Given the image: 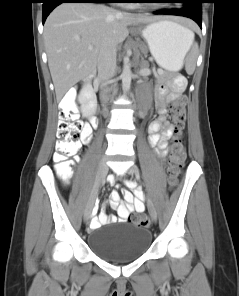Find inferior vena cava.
<instances>
[{"mask_svg":"<svg viewBox=\"0 0 239 296\" xmlns=\"http://www.w3.org/2000/svg\"><path fill=\"white\" fill-rule=\"evenodd\" d=\"M98 75L102 83L112 79L116 72V46L103 49L98 57ZM107 89L101 91V99L106 102Z\"/></svg>","mask_w":239,"mask_h":296,"instance_id":"1","label":"inferior vena cava"}]
</instances>
